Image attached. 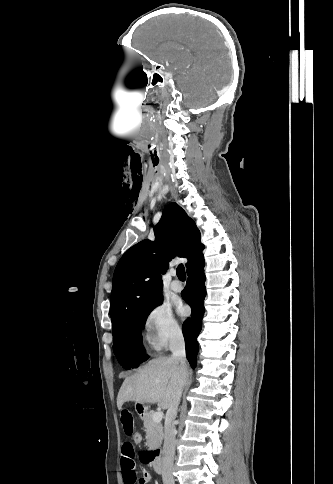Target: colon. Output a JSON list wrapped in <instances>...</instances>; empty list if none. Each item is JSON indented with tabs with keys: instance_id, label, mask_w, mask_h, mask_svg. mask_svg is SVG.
I'll return each instance as SVG.
<instances>
[{
	"instance_id": "colon-1",
	"label": "colon",
	"mask_w": 333,
	"mask_h": 484,
	"mask_svg": "<svg viewBox=\"0 0 333 484\" xmlns=\"http://www.w3.org/2000/svg\"><path fill=\"white\" fill-rule=\"evenodd\" d=\"M132 438H133L134 443H136V444H139L142 441V435L139 432H135L132 435Z\"/></svg>"
}]
</instances>
